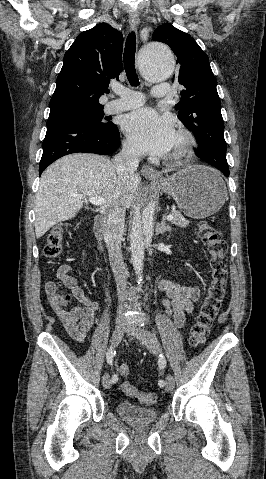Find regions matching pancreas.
Here are the masks:
<instances>
[{
  "mask_svg": "<svg viewBox=\"0 0 266 479\" xmlns=\"http://www.w3.org/2000/svg\"><path fill=\"white\" fill-rule=\"evenodd\" d=\"M171 215H173L172 224H175L181 228L188 226L189 221L184 218V216L177 210H172Z\"/></svg>",
  "mask_w": 266,
  "mask_h": 479,
  "instance_id": "pancreas-1",
  "label": "pancreas"
}]
</instances>
